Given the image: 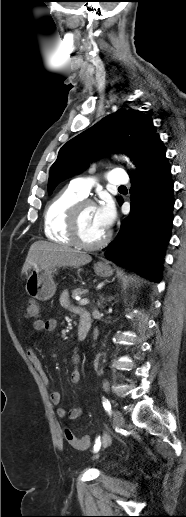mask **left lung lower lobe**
<instances>
[{
    "mask_svg": "<svg viewBox=\"0 0 186 517\" xmlns=\"http://www.w3.org/2000/svg\"><path fill=\"white\" fill-rule=\"evenodd\" d=\"M161 140L141 158L132 180L131 211L105 257L159 282L162 258L170 239L174 206L171 167Z\"/></svg>",
    "mask_w": 186,
    "mask_h": 517,
    "instance_id": "left-lung-lower-lobe-1",
    "label": "left lung lower lobe"
}]
</instances>
